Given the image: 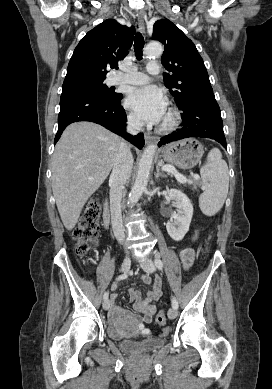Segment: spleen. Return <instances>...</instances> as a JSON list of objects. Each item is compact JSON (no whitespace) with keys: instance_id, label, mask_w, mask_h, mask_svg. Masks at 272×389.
I'll use <instances>...</instances> for the list:
<instances>
[{"instance_id":"1","label":"spleen","mask_w":272,"mask_h":389,"mask_svg":"<svg viewBox=\"0 0 272 389\" xmlns=\"http://www.w3.org/2000/svg\"><path fill=\"white\" fill-rule=\"evenodd\" d=\"M200 175L204 192L199 197V207L205 215L213 216L222 208L229 189L228 166L219 149L213 148L208 153Z\"/></svg>"}]
</instances>
